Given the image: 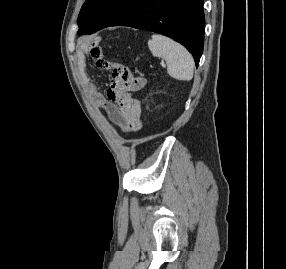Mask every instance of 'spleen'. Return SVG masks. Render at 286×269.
<instances>
[{
  "mask_svg": "<svg viewBox=\"0 0 286 269\" xmlns=\"http://www.w3.org/2000/svg\"><path fill=\"white\" fill-rule=\"evenodd\" d=\"M148 47L154 57L166 61L167 72L171 77L181 81L193 78L194 60L182 45L168 37L154 34L148 41Z\"/></svg>",
  "mask_w": 286,
  "mask_h": 269,
  "instance_id": "3e777b00",
  "label": "spleen"
}]
</instances>
